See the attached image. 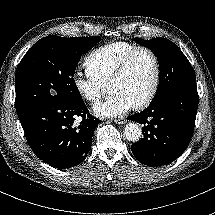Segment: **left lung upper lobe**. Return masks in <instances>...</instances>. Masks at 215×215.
<instances>
[{"label": "left lung upper lobe", "instance_id": "5c2ea615", "mask_svg": "<svg viewBox=\"0 0 215 215\" xmlns=\"http://www.w3.org/2000/svg\"><path fill=\"white\" fill-rule=\"evenodd\" d=\"M140 45L149 48L157 57L160 81L152 101L182 85L196 82L195 72L182 51L166 38L143 40L136 38Z\"/></svg>", "mask_w": 215, "mask_h": 215}]
</instances>
